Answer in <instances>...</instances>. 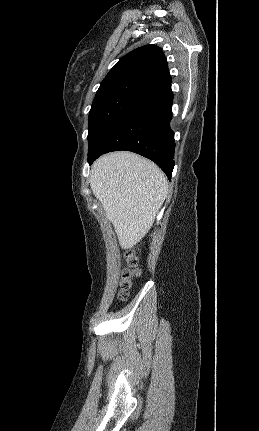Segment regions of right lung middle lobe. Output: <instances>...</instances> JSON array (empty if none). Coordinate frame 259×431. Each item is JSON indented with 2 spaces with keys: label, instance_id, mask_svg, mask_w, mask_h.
<instances>
[{
  "label": "right lung middle lobe",
  "instance_id": "1",
  "mask_svg": "<svg viewBox=\"0 0 259 431\" xmlns=\"http://www.w3.org/2000/svg\"><path fill=\"white\" fill-rule=\"evenodd\" d=\"M150 91L152 90L146 85L130 81L115 88L97 92L89 112L88 152L130 106Z\"/></svg>",
  "mask_w": 259,
  "mask_h": 431
}]
</instances>
